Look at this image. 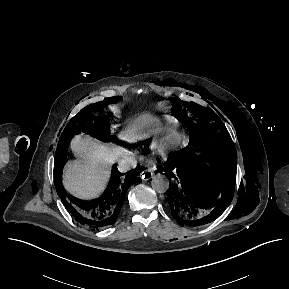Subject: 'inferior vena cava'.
<instances>
[{
  "label": "inferior vena cava",
  "mask_w": 289,
  "mask_h": 289,
  "mask_svg": "<svg viewBox=\"0 0 289 289\" xmlns=\"http://www.w3.org/2000/svg\"><path fill=\"white\" fill-rule=\"evenodd\" d=\"M136 167V163L133 162V161H128L126 162L123 166H120L119 169L122 171V172H126L132 168H135Z\"/></svg>",
  "instance_id": "1"
}]
</instances>
